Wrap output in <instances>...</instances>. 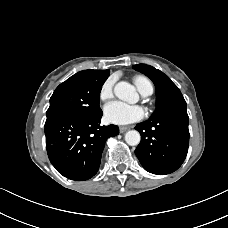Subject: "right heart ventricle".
I'll use <instances>...</instances> for the list:
<instances>
[{
    "label": "right heart ventricle",
    "instance_id": "e07e8e85",
    "mask_svg": "<svg viewBox=\"0 0 228 228\" xmlns=\"http://www.w3.org/2000/svg\"><path fill=\"white\" fill-rule=\"evenodd\" d=\"M133 81L139 92L142 94L148 92L149 90H153L150 81L143 76H135Z\"/></svg>",
    "mask_w": 228,
    "mask_h": 228
}]
</instances>
